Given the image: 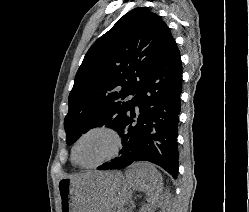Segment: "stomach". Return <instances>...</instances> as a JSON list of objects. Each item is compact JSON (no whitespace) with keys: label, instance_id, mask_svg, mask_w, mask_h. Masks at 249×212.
<instances>
[{"label":"stomach","instance_id":"stomach-1","mask_svg":"<svg viewBox=\"0 0 249 212\" xmlns=\"http://www.w3.org/2000/svg\"><path fill=\"white\" fill-rule=\"evenodd\" d=\"M135 184H126L124 170H86L58 182L61 212H109L127 204Z\"/></svg>","mask_w":249,"mask_h":212}]
</instances>
